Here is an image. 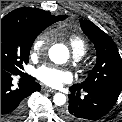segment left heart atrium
Returning <instances> with one entry per match:
<instances>
[{
  "label": "left heart atrium",
  "mask_w": 122,
  "mask_h": 122,
  "mask_svg": "<svg viewBox=\"0 0 122 122\" xmlns=\"http://www.w3.org/2000/svg\"><path fill=\"white\" fill-rule=\"evenodd\" d=\"M36 76L43 84L54 88H58L72 80V75L69 71L51 65L41 66L37 70Z\"/></svg>",
  "instance_id": "39dd6f15"
}]
</instances>
